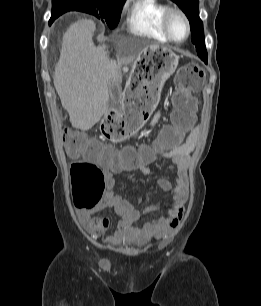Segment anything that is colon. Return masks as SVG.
Segmentation results:
<instances>
[{
	"instance_id": "1",
	"label": "colon",
	"mask_w": 261,
	"mask_h": 306,
	"mask_svg": "<svg viewBox=\"0 0 261 306\" xmlns=\"http://www.w3.org/2000/svg\"><path fill=\"white\" fill-rule=\"evenodd\" d=\"M204 79L203 69L194 63L182 66L176 76V90L173 101L175 111L172 115V123L161 130L160 136L149 145H141L138 149L126 148L112 154L113 163L135 164L139 161H148L154 157L157 151L165 150L179 143L183 134L192 125V115L196 107L193 94L200 88ZM128 128L122 121L109 119L104 123L103 134L110 141H120L129 135ZM66 149L73 155L83 153L85 159H79L72 163L70 168L71 183L74 191L75 207L87 208V201L99 197L105 190V176L95 161L105 163L109 155L105 150L83 143L72 134L66 137Z\"/></svg>"
}]
</instances>
